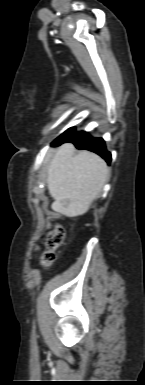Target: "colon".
<instances>
[{"instance_id":"5ec220e1","label":"colon","mask_w":145,"mask_h":385,"mask_svg":"<svg viewBox=\"0 0 145 385\" xmlns=\"http://www.w3.org/2000/svg\"><path fill=\"white\" fill-rule=\"evenodd\" d=\"M65 231L62 226H56L51 231L46 233L42 242L44 250L41 253V263L47 267L52 264L55 259V251L64 241Z\"/></svg>"}]
</instances>
